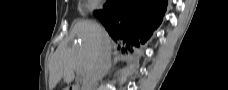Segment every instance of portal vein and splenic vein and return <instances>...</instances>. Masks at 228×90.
Listing matches in <instances>:
<instances>
[{
    "label": "portal vein and splenic vein",
    "instance_id": "portal-vein-and-splenic-vein-1",
    "mask_svg": "<svg viewBox=\"0 0 228 90\" xmlns=\"http://www.w3.org/2000/svg\"><path fill=\"white\" fill-rule=\"evenodd\" d=\"M77 72H78L80 75H84L83 70H81V69H77Z\"/></svg>",
    "mask_w": 228,
    "mask_h": 90
}]
</instances>
